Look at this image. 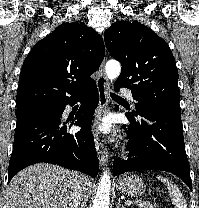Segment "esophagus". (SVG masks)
I'll list each match as a JSON object with an SVG mask.
<instances>
[{"label":"esophagus","instance_id":"esophagus-1","mask_svg":"<svg viewBox=\"0 0 199 208\" xmlns=\"http://www.w3.org/2000/svg\"><path fill=\"white\" fill-rule=\"evenodd\" d=\"M99 77L96 80L97 89L99 93V104L96 111V121L97 122L100 114L104 109H106L108 105V87L109 81L105 74V59L103 60L99 70ZM94 140H95V148L98 155L99 163L101 166H104L107 162V154L103 148V144L100 141L99 135L96 131H94Z\"/></svg>","mask_w":199,"mask_h":208}]
</instances>
